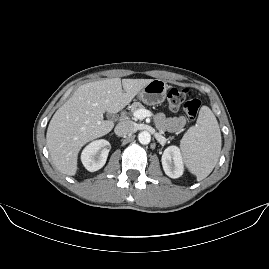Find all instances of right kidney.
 <instances>
[{
    "mask_svg": "<svg viewBox=\"0 0 269 269\" xmlns=\"http://www.w3.org/2000/svg\"><path fill=\"white\" fill-rule=\"evenodd\" d=\"M111 149L109 141L97 139L88 143L81 151L80 160L84 168L94 172L102 168Z\"/></svg>",
    "mask_w": 269,
    "mask_h": 269,
    "instance_id": "obj_1",
    "label": "right kidney"
}]
</instances>
